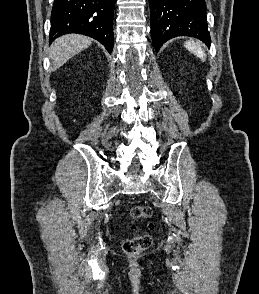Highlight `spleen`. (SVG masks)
I'll use <instances>...</instances> for the list:
<instances>
[{
    "label": "spleen",
    "mask_w": 259,
    "mask_h": 294,
    "mask_svg": "<svg viewBox=\"0 0 259 294\" xmlns=\"http://www.w3.org/2000/svg\"><path fill=\"white\" fill-rule=\"evenodd\" d=\"M184 46L186 47V49H188V51H190L191 53H193L194 55H196L200 59L204 60L205 53H204L203 49L201 48V46L197 42L186 41Z\"/></svg>",
    "instance_id": "obj_1"
}]
</instances>
